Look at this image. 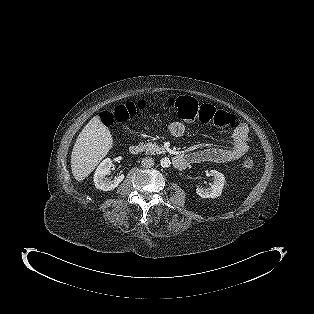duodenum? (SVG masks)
<instances>
[{"mask_svg":"<svg viewBox=\"0 0 314 314\" xmlns=\"http://www.w3.org/2000/svg\"><path fill=\"white\" fill-rule=\"evenodd\" d=\"M142 152V146L140 144H133L129 147V153L132 155H138ZM173 165L176 169H184L190 162L189 157L186 155H177L172 159Z\"/></svg>","mask_w":314,"mask_h":314,"instance_id":"410a0bca","label":"duodenum"}]
</instances>
